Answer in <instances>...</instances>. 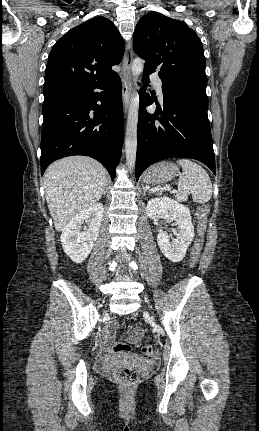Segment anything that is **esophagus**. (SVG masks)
<instances>
[{
  "label": "esophagus",
  "mask_w": 259,
  "mask_h": 431,
  "mask_svg": "<svg viewBox=\"0 0 259 431\" xmlns=\"http://www.w3.org/2000/svg\"><path fill=\"white\" fill-rule=\"evenodd\" d=\"M133 44L132 41H128L125 52L124 69L122 74V97L124 112L127 114L130 104V94L132 92V76H131V65L133 61Z\"/></svg>",
  "instance_id": "esophagus-1"
}]
</instances>
